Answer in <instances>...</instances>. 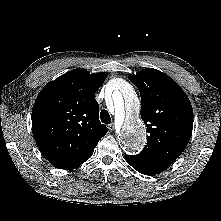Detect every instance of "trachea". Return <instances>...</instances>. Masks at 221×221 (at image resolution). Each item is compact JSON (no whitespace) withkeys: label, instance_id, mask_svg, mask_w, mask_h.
<instances>
[{"label":"trachea","instance_id":"3493384b","mask_svg":"<svg viewBox=\"0 0 221 221\" xmlns=\"http://www.w3.org/2000/svg\"><path fill=\"white\" fill-rule=\"evenodd\" d=\"M100 118H101L102 123H104V124H110L111 123V117H110L107 110H102L101 111Z\"/></svg>","mask_w":221,"mask_h":221}]
</instances>
